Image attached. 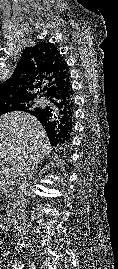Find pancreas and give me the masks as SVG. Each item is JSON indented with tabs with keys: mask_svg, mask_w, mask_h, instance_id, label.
<instances>
[{
	"mask_svg": "<svg viewBox=\"0 0 118 269\" xmlns=\"http://www.w3.org/2000/svg\"><path fill=\"white\" fill-rule=\"evenodd\" d=\"M10 187L7 179L0 180V191H7Z\"/></svg>",
	"mask_w": 118,
	"mask_h": 269,
	"instance_id": "obj_1",
	"label": "pancreas"
}]
</instances>
